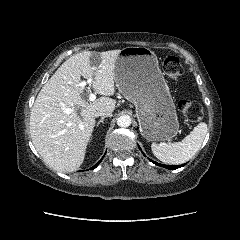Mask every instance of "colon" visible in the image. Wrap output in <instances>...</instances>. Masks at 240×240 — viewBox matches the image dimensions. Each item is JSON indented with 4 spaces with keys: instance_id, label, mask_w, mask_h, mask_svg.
Returning a JSON list of instances; mask_svg holds the SVG:
<instances>
[{
    "instance_id": "obj_1",
    "label": "colon",
    "mask_w": 240,
    "mask_h": 240,
    "mask_svg": "<svg viewBox=\"0 0 240 240\" xmlns=\"http://www.w3.org/2000/svg\"><path fill=\"white\" fill-rule=\"evenodd\" d=\"M164 74L169 79H177L183 74L180 60L175 56H168L163 62ZM180 112L191 121H199L203 117L202 106L191 100H181L178 104Z\"/></svg>"
}]
</instances>
